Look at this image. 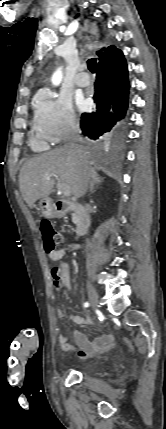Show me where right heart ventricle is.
<instances>
[{"label":"right heart ventricle","instance_id":"e07e8e85","mask_svg":"<svg viewBox=\"0 0 166 429\" xmlns=\"http://www.w3.org/2000/svg\"><path fill=\"white\" fill-rule=\"evenodd\" d=\"M31 145L35 150H45L48 148L46 139L38 132L31 136Z\"/></svg>","mask_w":166,"mask_h":429}]
</instances>
